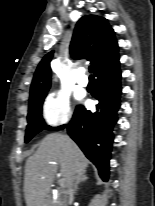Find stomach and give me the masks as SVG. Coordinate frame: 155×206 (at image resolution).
Returning a JSON list of instances; mask_svg holds the SVG:
<instances>
[{"label": "stomach", "mask_w": 155, "mask_h": 206, "mask_svg": "<svg viewBox=\"0 0 155 206\" xmlns=\"http://www.w3.org/2000/svg\"><path fill=\"white\" fill-rule=\"evenodd\" d=\"M39 206H49V204L46 201H43Z\"/></svg>", "instance_id": "stomach-1"}]
</instances>
